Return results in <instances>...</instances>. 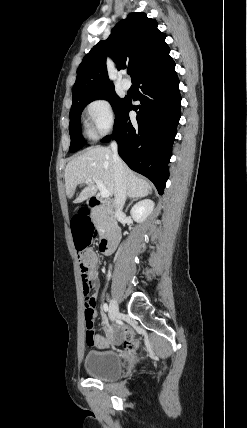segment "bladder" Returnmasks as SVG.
I'll list each match as a JSON object with an SVG mask.
<instances>
[{"label":"bladder","mask_w":247,"mask_h":428,"mask_svg":"<svg viewBox=\"0 0 247 428\" xmlns=\"http://www.w3.org/2000/svg\"><path fill=\"white\" fill-rule=\"evenodd\" d=\"M84 368L91 377L112 380L121 375L123 363L116 351L92 350L85 357Z\"/></svg>","instance_id":"obj_1"}]
</instances>
